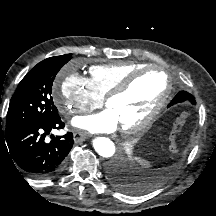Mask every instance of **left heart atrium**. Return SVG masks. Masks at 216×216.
Listing matches in <instances>:
<instances>
[{
	"mask_svg": "<svg viewBox=\"0 0 216 216\" xmlns=\"http://www.w3.org/2000/svg\"><path fill=\"white\" fill-rule=\"evenodd\" d=\"M72 125L91 133H110L116 130L118 119L108 108L94 115L75 117Z\"/></svg>",
	"mask_w": 216,
	"mask_h": 216,
	"instance_id": "obj_1",
	"label": "left heart atrium"
}]
</instances>
